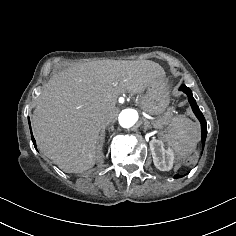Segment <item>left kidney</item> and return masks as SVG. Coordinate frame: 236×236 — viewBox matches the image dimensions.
Listing matches in <instances>:
<instances>
[{"mask_svg": "<svg viewBox=\"0 0 236 236\" xmlns=\"http://www.w3.org/2000/svg\"><path fill=\"white\" fill-rule=\"evenodd\" d=\"M150 146L154 165L160 170H170L174 160L173 151L165 148L159 140H152Z\"/></svg>", "mask_w": 236, "mask_h": 236, "instance_id": "1", "label": "left kidney"}]
</instances>
